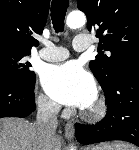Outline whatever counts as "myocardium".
I'll return each mask as SVG.
<instances>
[{
    "label": "myocardium",
    "mask_w": 139,
    "mask_h": 150,
    "mask_svg": "<svg viewBox=\"0 0 139 150\" xmlns=\"http://www.w3.org/2000/svg\"><path fill=\"white\" fill-rule=\"evenodd\" d=\"M107 114V103L103 98L95 101L92 107L83 112V117L91 122H96L105 117Z\"/></svg>",
    "instance_id": "1"
}]
</instances>
